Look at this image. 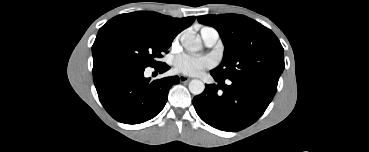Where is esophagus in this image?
Segmentation results:
<instances>
[{
    "instance_id": "obj_1",
    "label": "esophagus",
    "mask_w": 369,
    "mask_h": 152,
    "mask_svg": "<svg viewBox=\"0 0 369 152\" xmlns=\"http://www.w3.org/2000/svg\"><path fill=\"white\" fill-rule=\"evenodd\" d=\"M179 79L182 83L188 82L190 80L189 77L185 76V75H180Z\"/></svg>"
}]
</instances>
